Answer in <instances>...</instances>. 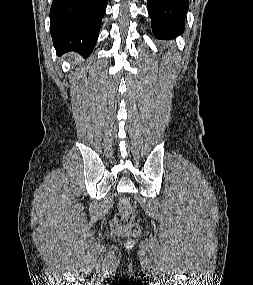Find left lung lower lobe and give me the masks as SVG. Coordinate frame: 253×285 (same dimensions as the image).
Listing matches in <instances>:
<instances>
[{"mask_svg": "<svg viewBox=\"0 0 253 285\" xmlns=\"http://www.w3.org/2000/svg\"><path fill=\"white\" fill-rule=\"evenodd\" d=\"M152 30L159 39H171L183 33L188 0H147Z\"/></svg>", "mask_w": 253, "mask_h": 285, "instance_id": "0a47b994", "label": "left lung lower lobe"}]
</instances>
